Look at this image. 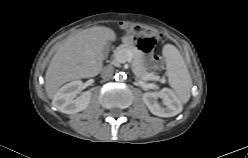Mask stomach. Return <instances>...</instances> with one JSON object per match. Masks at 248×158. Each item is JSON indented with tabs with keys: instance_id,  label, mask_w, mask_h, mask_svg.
Listing matches in <instances>:
<instances>
[{
	"instance_id": "0dacf381",
	"label": "stomach",
	"mask_w": 248,
	"mask_h": 158,
	"mask_svg": "<svg viewBox=\"0 0 248 158\" xmlns=\"http://www.w3.org/2000/svg\"><path fill=\"white\" fill-rule=\"evenodd\" d=\"M135 34L134 33H131L130 34V36H129V38L126 40L128 43H135V41H136V39H135ZM146 64L148 65V66H151V63H149L148 61H146Z\"/></svg>"
}]
</instances>
